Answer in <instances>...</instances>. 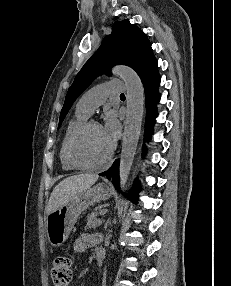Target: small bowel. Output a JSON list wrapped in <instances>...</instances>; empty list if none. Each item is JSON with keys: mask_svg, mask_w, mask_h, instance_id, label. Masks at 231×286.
I'll return each instance as SVG.
<instances>
[{"mask_svg": "<svg viewBox=\"0 0 231 286\" xmlns=\"http://www.w3.org/2000/svg\"><path fill=\"white\" fill-rule=\"evenodd\" d=\"M101 241V237L98 234L83 233L76 239L74 243V250L76 253H84L87 249L98 246Z\"/></svg>", "mask_w": 231, "mask_h": 286, "instance_id": "small-bowel-1", "label": "small bowel"}]
</instances>
